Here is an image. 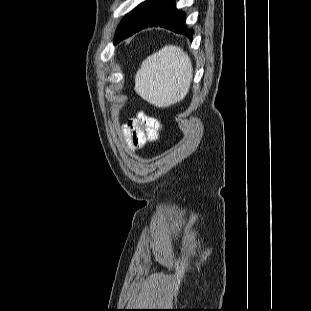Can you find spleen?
<instances>
[{"mask_svg":"<svg viewBox=\"0 0 311 311\" xmlns=\"http://www.w3.org/2000/svg\"><path fill=\"white\" fill-rule=\"evenodd\" d=\"M189 56L167 45L148 56L135 75V92L156 107H168L187 95L193 77Z\"/></svg>","mask_w":311,"mask_h":311,"instance_id":"spleen-1","label":"spleen"}]
</instances>
